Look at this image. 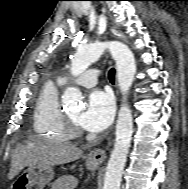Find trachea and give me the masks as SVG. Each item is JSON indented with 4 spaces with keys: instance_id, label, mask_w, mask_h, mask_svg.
<instances>
[{
    "instance_id": "obj_1",
    "label": "trachea",
    "mask_w": 188,
    "mask_h": 189,
    "mask_svg": "<svg viewBox=\"0 0 188 189\" xmlns=\"http://www.w3.org/2000/svg\"><path fill=\"white\" fill-rule=\"evenodd\" d=\"M108 77L111 82H115V70L113 68L109 70Z\"/></svg>"
}]
</instances>
